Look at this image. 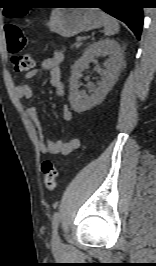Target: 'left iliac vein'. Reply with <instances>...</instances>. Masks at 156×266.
<instances>
[{
    "mask_svg": "<svg viewBox=\"0 0 156 266\" xmlns=\"http://www.w3.org/2000/svg\"><path fill=\"white\" fill-rule=\"evenodd\" d=\"M52 243H53V245H55V246H58V245H60V243H61V241H60V237H59V235H58L57 232L54 233Z\"/></svg>",
    "mask_w": 156,
    "mask_h": 266,
    "instance_id": "left-iliac-vein-1",
    "label": "left iliac vein"
}]
</instances>
